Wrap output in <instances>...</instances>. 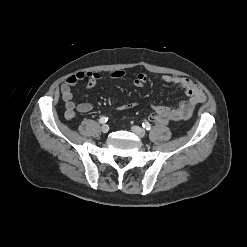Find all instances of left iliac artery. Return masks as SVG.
Here are the masks:
<instances>
[{"instance_id":"obj_1","label":"left iliac artery","mask_w":247,"mask_h":247,"mask_svg":"<svg viewBox=\"0 0 247 247\" xmlns=\"http://www.w3.org/2000/svg\"><path fill=\"white\" fill-rule=\"evenodd\" d=\"M142 126L146 129V130H150L151 129V124L148 121H144L142 123Z\"/></svg>"}]
</instances>
